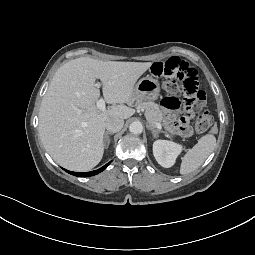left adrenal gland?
Returning <instances> with one entry per match:
<instances>
[{"label": "left adrenal gland", "instance_id": "1", "mask_svg": "<svg viewBox=\"0 0 255 255\" xmlns=\"http://www.w3.org/2000/svg\"><path fill=\"white\" fill-rule=\"evenodd\" d=\"M149 130H152V133L154 135V137H158V133H160L159 130H155L154 128H152L151 126H148Z\"/></svg>", "mask_w": 255, "mask_h": 255}]
</instances>
